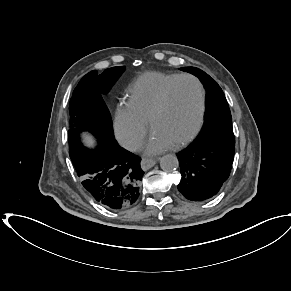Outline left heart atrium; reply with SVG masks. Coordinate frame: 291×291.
Returning a JSON list of instances; mask_svg holds the SVG:
<instances>
[{"label":"left heart atrium","instance_id":"1","mask_svg":"<svg viewBox=\"0 0 291 291\" xmlns=\"http://www.w3.org/2000/svg\"><path fill=\"white\" fill-rule=\"evenodd\" d=\"M173 145L174 144L171 141L153 131L146 143L145 151L149 155H156L172 148Z\"/></svg>","mask_w":291,"mask_h":291}]
</instances>
